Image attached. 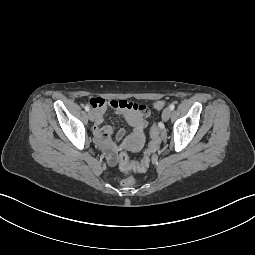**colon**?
I'll return each mask as SVG.
<instances>
[{
  "instance_id": "obj_1",
  "label": "colon",
  "mask_w": 255,
  "mask_h": 255,
  "mask_svg": "<svg viewBox=\"0 0 255 255\" xmlns=\"http://www.w3.org/2000/svg\"><path fill=\"white\" fill-rule=\"evenodd\" d=\"M165 106V103L158 101L154 103L156 109H161ZM161 142V130L156 125L151 126V142L148 148L144 152L143 159L140 163H135L129 160L128 156L125 153H121L118 157V162L121 169L124 171L125 176L121 180V185L123 187H132L136 180L134 178L135 172H144L147 170L151 156L157 151L159 144Z\"/></svg>"
}]
</instances>
